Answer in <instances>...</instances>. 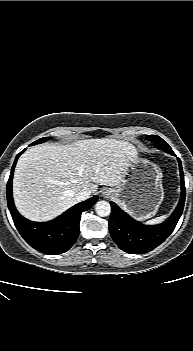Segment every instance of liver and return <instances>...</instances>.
Returning a JSON list of instances; mask_svg holds the SVG:
<instances>
[{"instance_id": "1", "label": "liver", "mask_w": 193, "mask_h": 351, "mask_svg": "<svg viewBox=\"0 0 193 351\" xmlns=\"http://www.w3.org/2000/svg\"><path fill=\"white\" fill-rule=\"evenodd\" d=\"M132 156L136 152L131 144L109 138L31 147L15 168V205L30 220H51L78 202L79 191L118 186Z\"/></svg>"}]
</instances>
